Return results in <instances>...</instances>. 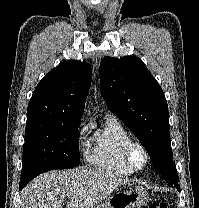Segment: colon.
I'll use <instances>...</instances> for the list:
<instances>
[{
	"mask_svg": "<svg viewBox=\"0 0 199 208\" xmlns=\"http://www.w3.org/2000/svg\"><path fill=\"white\" fill-rule=\"evenodd\" d=\"M148 208H168L164 203H152L148 206Z\"/></svg>",
	"mask_w": 199,
	"mask_h": 208,
	"instance_id": "1",
	"label": "colon"
}]
</instances>
